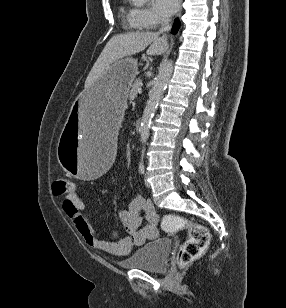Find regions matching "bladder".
Here are the masks:
<instances>
[{
    "label": "bladder",
    "mask_w": 286,
    "mask_h": 308,
    "mask_svg": "<svg viewBox=\"0 0 286 308\" xmlns=\"http://www.w3.org/2000/svg\"><path fill=\"white\" fill-rule=\"evenodd\" d=\"M171 250V241L157 239L135 250L132 254L120 261L128 269H142L150 272H161L168 267V257Z\"/></svg>",
    "instance_id": "bladder-1"
}]
</instances>
